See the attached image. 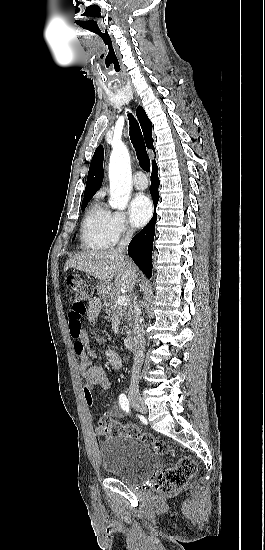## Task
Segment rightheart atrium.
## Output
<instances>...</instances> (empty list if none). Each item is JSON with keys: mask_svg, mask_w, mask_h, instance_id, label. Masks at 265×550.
I'll return each mask as SVG.
<instances>
[{"mask_svg": "<svg viewBox=\"0 0 265 550\" xmlns=\"http://www.w3.org/2000/svg\"><path fill=\"white\" fill-rule=\"evenodd\" d=\"M111 230L115 241L122 237H129L133 234V229L125 214L119 211L112 213Z\"/></svg>", "mask_w": 265, "mask_h": 550, "instance_id": "obj_1", "label": "right heart atrium"}]
</instances>
